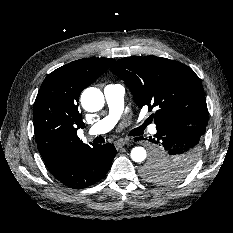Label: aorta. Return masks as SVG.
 I'll return each instance as SVG.
<instances>
[{"instance_id":"aorta-1","label":"aorta","mask_w":233,"mask_h":233,"mask_svg":"<svg viewBox=\"0 0 233 233\" xmlns=\"http://www.w3.org/2000/svg\"><path fill=\"white\" fill-rule=\"evenodd\" d=\"M81 104L86 111L97 112L104 106V95L97 88H87L81 95ZM146 156V150L143 147L138 146L131 150V158L134 162H143Z\"/></svg>"}]
</instances>
